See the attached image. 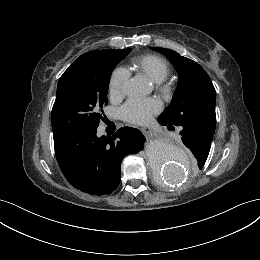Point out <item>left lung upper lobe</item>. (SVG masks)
Segmentation results:
<instances>
[{"mask_svg": "<svg viewBox=\"0 0 260 260\" xmlns=\"http://www.w3.org/2000/svg\"><path fill=\"white\" fill-rule=\"evenodd\" d=\"M151 49L164 54L174 65L179 77L172 102L160 117L175 126L193 122L214 133L216 91L205 70L195 61L171 49ZM203 166L198 164L199 169Z\"/></svg>", "mask_w": 260, "mask_h": 260, "instance_id": "5c2ea615", "label": "left lung upper lobe"}]
</instances>
